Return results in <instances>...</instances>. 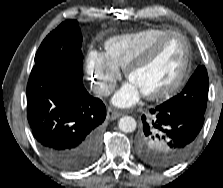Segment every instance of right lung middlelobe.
Wrapping results in <instances>:
<instances>
[{"instance_id": "dd1d6c3e", "label": "right lung middle lobe", "mask_w": 223, "mask_h": 188, "mask_svg": "<svg viewBox=\"0 0 223 188\" xmlns=\"http://www.w3.org/2000/svg\"><path fill=\"white\" fill-rule=\"evenodd\" d=\"M82 36L76 20H67L53 30L41 43L36 55V69H56L82 82Z\"/></svg>"}]
</instances>
